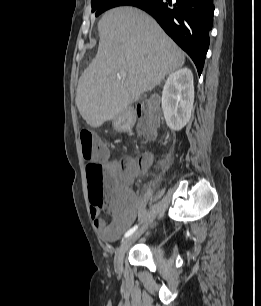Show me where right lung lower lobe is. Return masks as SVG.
<instances>
[{
    "mask_svg": "<svg viewBox=\"0 0 261 306\" xmlns=\"http://www.w3.org/2000/svg\"><path fill=\"white\" fill-rule=\"evenodd\" d=\"M148 12L192 58L199 75L209 47L213 0H137L131 4Z\"/></svg>",
    "mask_w": 261,
    "mask_h": 306,
    "instance_id": "obj_1",
    "label": "right lung lower lobe"
}]
</instances>
